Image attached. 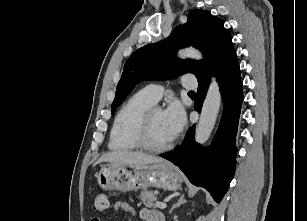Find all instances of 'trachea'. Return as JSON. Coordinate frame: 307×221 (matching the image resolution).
<instances>
[{"instance_id":"obj_1","label":"trachea","mask_w":307,"mask_h":221,"mask_svg":"<svg viewBox=\"0 0 307 221\" xmlns=\"http://www.w3.org/2000/svg\"><path fill=\"white\" fill-rule=\"evenodd\" d=\"M189 94H195V92L194 91H189Z\"/></svg>"}]
</instances>
